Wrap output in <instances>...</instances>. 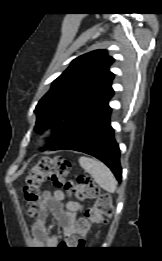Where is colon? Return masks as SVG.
I'll return each instance as SVG.
<instances>
[{"label":"colon","mask_w":162,"mask_h":261,"mask_svg":"<svg viewBox=\"0 0 162 261\" xmlns=\"http://www.w3.org/2000/svg\"><path fill=\"white\" fill-rule=\"evenodd\" d=\"M70 162L63 157H43L32 166L25 178L23 194L27 202L34 203L40 195L44 182L49 181L57 187H64L72 191L80 200L94 199L96 202L86 213L79 218L75 230L63 242L73 247H84L86 237L93 223L103 221L104 216L113 212L112 201L109 194H100L98 186L86 175H76L68 181ZM34 214V209H29Z\"/></svg>","instance_id":"5ec220e1"}]
</instances>
